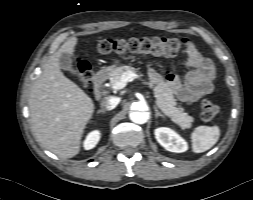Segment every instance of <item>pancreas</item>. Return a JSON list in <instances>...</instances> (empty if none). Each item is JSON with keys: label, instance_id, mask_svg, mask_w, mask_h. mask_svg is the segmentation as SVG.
I'll use <instances>...</instances> for the list:
<instances>
[{"label": "pancreas", "instance_id": "pancreas-1", "mask_svg": "<svg viewBox=\"0 0 253 200\" xmlns=\"http://www.w3.org/2000/svg\"><path fill=\"white\" fill-rule=\"evenodd\" d=\"M138 72V69L130 66H120L114 68L110 72V83L113 85L120 80L125 72ZM149 85L153 88L157 105L162 112L168 116L173 122L178 124L182 129L190 128L193 118L183 111V108L176 107L177 102L163 77L153 69H149Z\"/></svg>", "mask_w": 253, "mask_h": 200}]
</instances>
